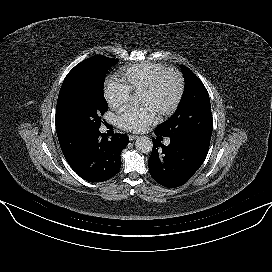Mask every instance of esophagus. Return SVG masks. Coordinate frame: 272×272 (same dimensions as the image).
<instances>
[{
	"mask_svg": "<svg viewBox=\"0 0 272 272\" xmlns=\"http://www.w3.org/2000/svg\"><path fill=\"white\" fill-rule=\"evenodd\" d=\"M128 137H129V140L130 141H133V140H135V139H137L138 138V136L137 135H128Z\"/></svg>",
	"mask_w": 272,
	"mask_h": 272,
	"instance_id": "esophagus-1",
	"label": "esophagus"
}]
</instances>
